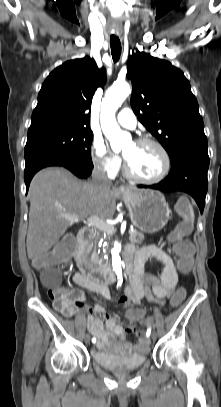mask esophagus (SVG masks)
Segmentation results:
<instances>
[{"label": "esophagus", "instance_id": "1", "mask_svg": "<svg viewBox=\"0 0 221 407\" xmlns=\"http://www.w3.org/2000/svg\"><path fill=\"white\" fill-rule=\"evenodd\" d=\"M118 191H119L120 193H126V192L128 191V188L125 187V186H123V185H120V186L118 187Z\"/></svg>", "mask_w": 221, "mask_h": 407}]
</instances>
